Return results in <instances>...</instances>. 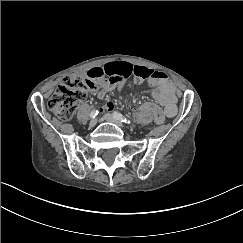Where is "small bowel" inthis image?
<instances>
[{
    "label": "small bowel",
    "mask_w": 243,
    "mask_h": 243,
    "mask_svg": "<svg viewBox=\"0 0 243 243\" xmlns=\"http://www.w3.org/2000/svg\"><path fill=\"white\" fill-rule=\"evenodd\" d=\"M96 74H99L96 79L99 81L100 87L97 92L99 99H103L110 90L123 82L125 78L134 75L138 79H147L158 85V89L153 92V96L163 107L166 116L173 117L177 113L174 85L167 75L162 72L143 66H134L128 62H112L103 67L92 68L87 72V76L91 78ZM107 108L112 109V104H108Z\"/></svg>",
    "instance_id": "obj_1"
}]
</instances>
